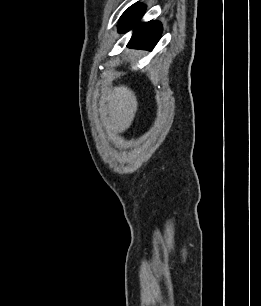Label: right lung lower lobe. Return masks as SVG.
I'll return each instance as SVG.
<instances>
[{
    "label": "right lung lower lobe",
    "instance_id": "98d812e1",
    "mask_svg": "<svg viewBox=\"0 0 261 306\" xmlns=\"http://www.w3.org/2000/svg\"><path fill=\"white\" fill-rule=\"evenodd\" d=\"M144 11L145 6L141 4L129 7L120 18L119 31L122 33L134 28L128 47L151 50L161 36L162 26L157 21L139 23Z\"/></svg>",
    "mask_w": 261,
    "mask_h": 306
}]
</instances>
